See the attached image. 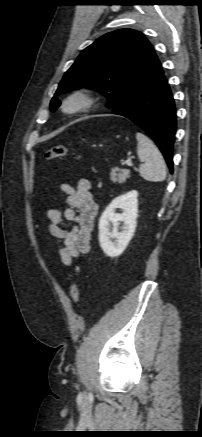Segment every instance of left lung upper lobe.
Listing matches in <instances>:
<instances>
[{
    "mask_svg": "<svg viewBox=\"0 0 202 437\" xmlns=\"http://www.w3.org/2000/svg\"><path fill=\"white\" fill-rule=\"evenodd\" d=\"M161 72V63L141 32L116 30L101 36L81 52L61 80L50 109L54 111L60 105L56 96L83 87L105 95L107 107L114 109L153 82Z\"/></svg>",
    "mask_w": 202,
    "mask_h": 437,
    "instance_id": "5c2ea615",
    "label": "left lung upper lobe"
}]
</instances>
